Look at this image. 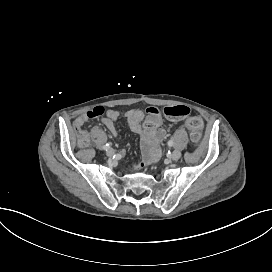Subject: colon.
I'll use <instances>...</instances> for the list:
<instances>
[{
	"instance_id": "5ec220e1",
	"label": "colon",
	"mask_w": 272,
	"mask_h": 272,
	"mask_svg": "<svg viewBox=\"0 0 272 272\" xmlns=\"http://www.w3.org/2000/svg\"><path fill=\"white\" fill-rule=\"evenodd\" d=\"M106 113V107L102 105L95 106L89 109L86 113L88 119H95L104 116ZM147 114L150 117H156L160 114H164L168 118L172 119H183L189 114V108L183 104L168 105L163 107H150L147 109ZM82 121L77 120L74 128L81 131ZM202 121L198 117H193L188 121V128L191 132V140L193 142H198L201 137ZM89 141V136L86 132H82L79 136L78 144L80 146H85Z\"/></svg>"
}]
</instances>
